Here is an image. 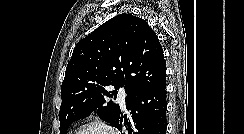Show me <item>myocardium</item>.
I'll return each mask as SVG.
<instances>
[{
  "instance_id": "f54148a6",
  "label": "myocardium",
  "mask_w": 244,
  "mask_h": 134,
  "mask_svg": "<svg viewBox=\"0 0 244 134\" xmlns=\"http://www.w3.org/2000/svg\"><path fill=\"white\" fill-rule=\"evenodd\" d=\"M99 128L103 130L106 134H117L115 129L108 123L101 121V120H91L81 124L80 126L75 129L72 134H79L81 131L88 129V128Z\"/></svg>"
}]
</instances>
